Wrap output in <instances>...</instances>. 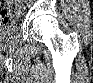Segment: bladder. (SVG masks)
Listing matches in <instances>:
<instances>
[{"label": "bladder", "instance_id": "1", "mask_svg": "<svg viewBox=\"0 0 93 83\" xmlns=\"http://www.w3.org/2000/svg\"><path fill=\"white\" fill-rule=\"evenodd\" d=\"M8 37V34L7 33H3L2 35H1V38L2 39H6Z\"/></svg>", "mask_w": 93, "mask_h": 83}]
</instances>
